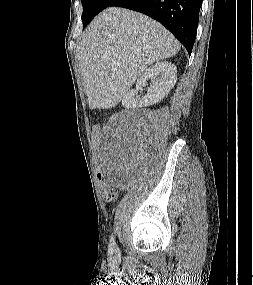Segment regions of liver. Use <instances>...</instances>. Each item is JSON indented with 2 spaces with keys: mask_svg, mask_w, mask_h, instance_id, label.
<instances>
[{
  "mask_svg": "<svg viewBox=\"0 0 253 285\" xmlns=\"http://www.w3.org/2000/svg\"><path fill=\"white\" fill-rule=\"evenodd\" d=\"M179 50L174 36L150 17L105 9L86 29L76 51L89 108L115 107L147 66Z\"/></svg>",
  "mask_w": 253,
  "mask_h": 285,
  "instance_id": "1",
  "label": "liver"
}]
</instances>
